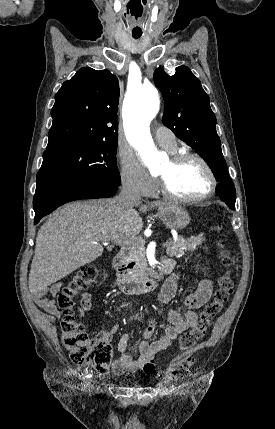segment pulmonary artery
I'll use <instances>...</instances> for the list:
<instances>
[{"label": "pulmonary artery", "instance_id": "pulmonary-artery-1", "mask_svg": "<svg viewBox=\"0 0 275 429\" xmlns=\"http://www.w3.org/2000/svg\"><path fill=\"white\" fill-rule=\"evenodd\" d=\"M155 138L163 148L171 152L176 150V147H177L176 138L170 130L165 128L156 129Z\"/></svg>", "mask_w": 275, "mask_h": 429}]
</instances>
